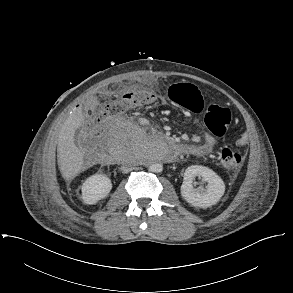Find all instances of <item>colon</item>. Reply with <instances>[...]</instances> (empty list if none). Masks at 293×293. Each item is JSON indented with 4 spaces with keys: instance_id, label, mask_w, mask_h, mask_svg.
I'll list each match as a JSON object with an SVG mask.
<instances>
[{
    "instance_id": "5ec220e1",
    "label": "colon",
    "mask_w": 293,
    "mask_h": 293,
    "mask_svg": "<svg viewBox=\"0 0 293 293\" xmlns=\"http://www.w3.org/2000/svg\"><path fill=\"white\" fill-rule=\"evenodd\" d=\"M171 101L191 112L199 113L203 109V98L197 86L190 83L174 85L170 91ZM153 102L150 90L136 88L128 91L121 98L101 106L93 116L92 128H98L112 116L149 105ZM231 111L219 105H210L204 117L206 127L215 135H223L231 123ZM219 159L224 168L237 171L242 164V157L230 147H223Z\"/></svg>"
}]
</instances>
